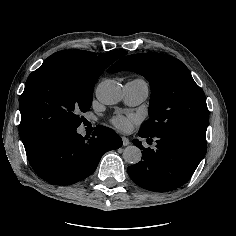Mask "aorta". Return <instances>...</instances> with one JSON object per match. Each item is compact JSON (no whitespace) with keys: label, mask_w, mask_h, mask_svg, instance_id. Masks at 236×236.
Wrapping results in <instances>:
<instances>
[{"label":"aorta","mask_w":236,"mask_h":236,"mask_svg":"<svg viewBox=\"0 0 236 236\" xmlns=\"http://www.w3.org/2000/svg\"><path fill=\"white\" fill-rule=\"evenodd\" d=\"M96 97L105 105L116 104L122 98L121 85L115 80L102 81L96 89ZM141 156V150L134 145L127 146L123 151V158L129 164H137Z\"/></svg>","instance_id":"aorta-1"}]
</instances>
